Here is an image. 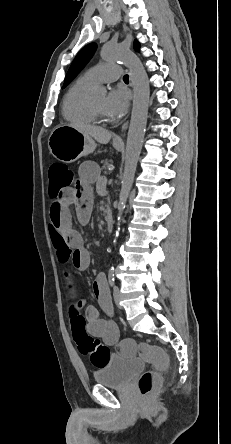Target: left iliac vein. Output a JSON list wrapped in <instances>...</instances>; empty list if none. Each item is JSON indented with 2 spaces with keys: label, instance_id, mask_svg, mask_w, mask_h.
<instances>
[{
  "label": "left iliac vein",
  "instance_id": "left-iliac-vein-1",
  "mask_svg": "<svg viewBox=\"0 0 231 444\" xmlns=\"http://www.w3.org/2000/svg\"><path fill=\"white\" fill-rule=\"evenodd\" d=\"M113 293H114V301L116 303V305L120 308L123 309V307L120 305V297H121V293H120V289L119 287L115 286L113 289Z\"/></svg>",
  "mask_w": 231,
  "mask_h": 444
}]
</instances>
